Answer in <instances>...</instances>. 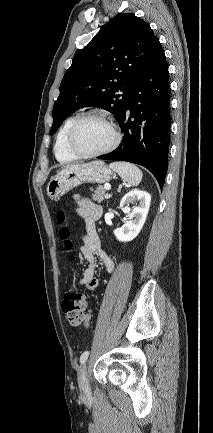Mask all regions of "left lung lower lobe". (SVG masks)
<instances>
[{"label":"left lung lower lobe","mask_w":213,"mask_h":433,"mask_svg":"<svg viewBox=\"0 0 213 433\" xmlns=\"http://www.w3.org/2000/svg\"><path fill=\"white\" fill-rule=\"evenodd\" d=\"M170 86L168 65L160 47L134 84L119 125L122 142L98 159L128 161L147 168L163 187L170 141Z\"/></svg>","instance_id":"obj_1"}]
</instances>
